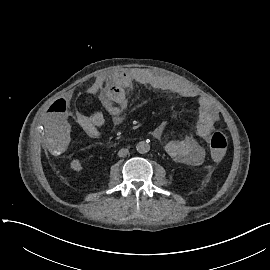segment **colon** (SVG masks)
Returning a JSON list of instances; mask_svg holds the SVG:
<instances>
[{
    "label": "colon",
    "instance_id": "colon-1",
    "mask_svg": "<svg viewBox=\"0 0 270 270\" xmlns=\"http://www.w3.org/2000/svg\"><path fill=\"white\" fill-rule=\"evenodd\" d=\"M95 97L92 94L84 96V105L87 108H92L95 104ZM209 148L215 154L217 162H224L226 160V153L224 152L228 145V137L224 131L216 130L209 137Z\"/></svg>",
    "mask_w": 270,
    "mask_h": 270
}]
</instances>
